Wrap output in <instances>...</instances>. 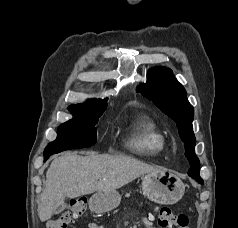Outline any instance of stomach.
I'll return each instance as SVG.
<instances>
[{
    "label": "stomach",
    "mask_w": 238,
    "mask_h": 228,
    "mask_svg": "<svg viewBox=\"0 0 238 228\" xmlns=\"http://www.w3.org/2000/svg\"><path fill=\"white\" fill-rule=\"evenodd\" d=\"M142 190L151 201L161 205L178 202L185 193L181 179L167 171L145 174L142 178ZM121 201L118 191L97 192L89 200L90 209L96 213H105L115 209Z\"/></svg>",
    "instance_id": "obj_1"
}]
</instances>
